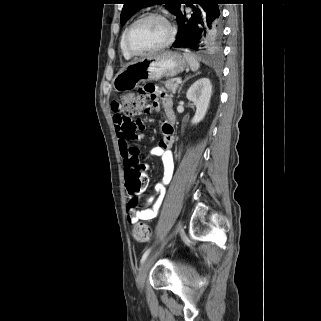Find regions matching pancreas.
<instances>
[{"mask_svg": "<svg viewBox=\"0 0 321 321\" xmlns=\"http://www.w3.org/2000/svg\"><path fill=\"white\" fill-rule=\"evenodd\" d=\"M163 84L165 85L166 89L171 91L172 93H175L178 88V84L175 82L174 79H169L163 82Z\"/></svg>", "mask_w": 321, "mask_h": 321, "instance_id": "pancreas-1", "label": "pancreas"}]
</instances>
